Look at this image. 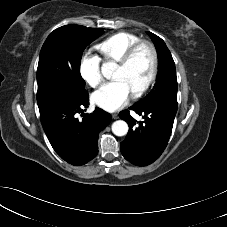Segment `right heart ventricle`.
I'll return each mask as SVG.
<instances>
[{"mask_svg":"<svg viewBox=\"0 0 227 227\" xmlns=\"http://www.w3.org/2000/svg\"><path fill=\"white\" fill-rule=\"evenodd\" d=\"M140 37L130 32H117L96 45L104 60L118 62L127 49L138 42Z\"/></svg>","mask_w":227,"mask_h":227,"instance_id":"e07e8e85","label":"right heart ventricle"}]
</instances>
